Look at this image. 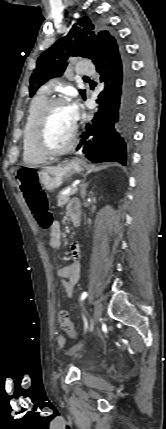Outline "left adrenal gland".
I'll return each instance as SVG.
<instances>
[{
  "instance_id": "obj_1",
  "label": "left adrenal gland",
  "mask_w": 166,
  "mask_h": 429,
  "mask_svg": "<svg viewBox=\"0 0 166 429\" xmlns=\"http://www.w3.org/2000/svg\"><path fill=\"white\" fill-rule=\"evenodd\" d=\"M88 186V183H85L84 181L80 184L81 187V197L84 200L86 196V188Z\"/></svg>"
}]
</instances>
